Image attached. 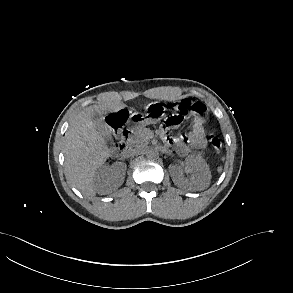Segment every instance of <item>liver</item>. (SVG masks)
Listing matches in <instances>:
<instances>
[{
    "label": "liver",
    "instance_id": "6515ba94",
    "mask_svg": "<svg viewBox=\"0 0 293 293\" xmlns=\"http://www.w3.org/2000/svg\"><path fill=\"white\" fill-rule=\"evenodd\" d=\"M93 105L81 111L71 122L64 139L65 175L86 196L95 195L94 176L110 156L111 149L93 124Z\"/></svg>",
    "mask_w": 293,
    "mask_h": 293
}]
</instances>
